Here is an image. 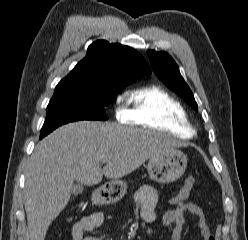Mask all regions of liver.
<instances>
[{"label": "liver", "instance_id": "obj_1", "mask_svg": "<svg viewBox=\"0 0 248 240\" xmlns=\"http://www.w3.org/2000/svg\"><path fill=\"white\" fill-rule=\"evenodd\" d=\"M177 146L182 144L166 135L108 122L81 121L56 129L36 145L27 168L24 205L30 240L45 239L68 204L74 181L92 186L103 175L118 180ZM102 163L107 164L101 168Z\"/></svg>", "mask_w": 248, "mask_h": 240}]
</instances>
